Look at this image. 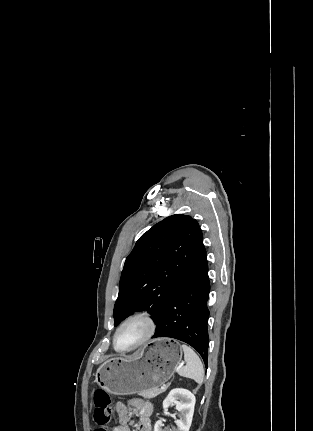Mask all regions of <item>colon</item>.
Listing matches in <instances>:
<instances>
[{
  "label": "colon",
  "mask_w": 313,
  "mask_h": 431,
  "mask_svg": "<svg viewBox=\"0 0 313 431\" xmlns=\"http://www.w3.org/2000/svg\"><path fill=\"white\" fill-rule=\"evenodd\" d=\"M94 420L98 427L94 431H109L108 424L111 420V397L103 389H97L94 393Z\"/></svg>",
  "instance_id": "obj_1"
}]
</instances>
